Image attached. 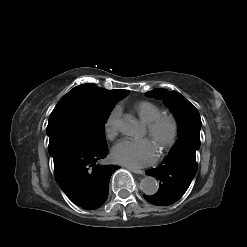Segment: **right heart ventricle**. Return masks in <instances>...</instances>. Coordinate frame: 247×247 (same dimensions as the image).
<instances>
[{
    "mask_svg": "<svg viewBox=\"0 0 247 247\" xmlns=\"http://www.w3.org/2000/svg\"><path fill=\"white\" fill-rule=\"evenodd\" d=\"M135 110L144 123H149L162 114V109L154 102L143 100L135 104Z\"/></svg>",
    "mask_w": 247,
    "mask_h": 247,
    "instance_id": "1",
    "label": "right heart ventricle"
}]
</instances>
